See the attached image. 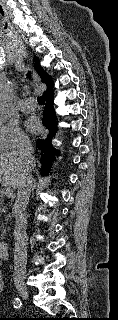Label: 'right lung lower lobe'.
I'll list each match as a JSON object with an SVG mask.
<instances>
[{"label":"right lung lower lobe","mask_w":118,"mask_h":320,"mask_svg":"<svg viewBox=\"0 0 118 320\" xmlns=\"http://www.w3.org/2000/svg\"><path fill=\"white\" fill-rule=\"evenodd\" d=\"M46 99V105L44 108L43 124L49 129V134L45 139L37 140L36 146L41 151V160L43 170L42 175L49 173L47 167H51L52 162L55 160V156L59 155V151L52 146V139L55 136L57 129L56 113L53 107V92L44 96Z\"/></svg>","instance_id":"right-lung-lower-lobe-1"}]
</instances>
